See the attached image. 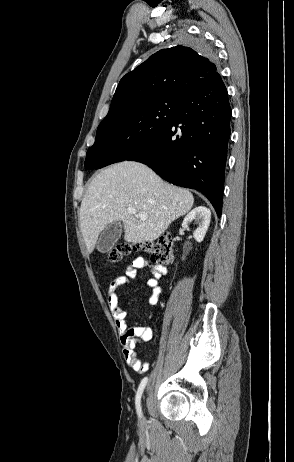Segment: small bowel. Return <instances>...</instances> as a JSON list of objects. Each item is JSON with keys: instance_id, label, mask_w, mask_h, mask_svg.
Returning <instances> with one entry per match:
<instances>
[{"instance_id": "c3829d8e", "label": "small bowel", "mask_w": 294, "mask_h": 462, "mask_svg": "<svg viewBox=\"0 0 294 462\" xmlns=\"http://www.w3.org/2000/svg\"><path fill=\"white\" fill-rule=\"evenodd\" d=\"M142 269L149 270L152 273V276L147 281V286L151 290L149 304L155 306L162 292L160 280L167 275V269L161 265L153 264L143 257L134 259L124 273L115 276L110 282L107 291V303L119 331L124 359L138 373L146 372L149 368V363L144 362L138 356L136 345L139 342L150 341L153 337V331L150 327L143 325L128 327L127 312L119 303L117 291L121 286L135 279L138 271Z\"/></svg>"}]
</instances>
